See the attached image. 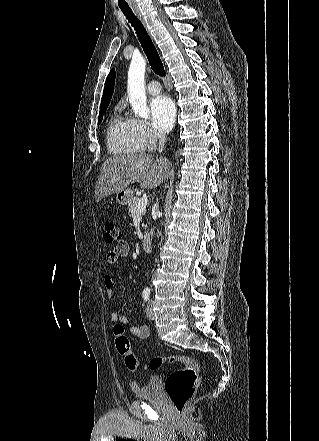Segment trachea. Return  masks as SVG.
Wrapping results in <instances>:
<instances>
[{
  "label": "trachea",
  "instance_id": "1",
  "mask_svg": "<svg viewBox=\"0 0 319 441\" xmlns=\"http://www.w3.org/2000/svg\"><path fill=\"white\" fill-rule=\"evenodd\" d=\"M121 11L123 12L124 16L128 20V22L131 24V26L134 28L136 35L138 37L139 42L141 43V46L144 50V53L147 56V59L150 63V66L154 73H156L159 76L165 75V70L163 63L160 59V56L157 52L156 47L154 46L150 36L148 35L147 31L145 30L144 26L140 22V20L134 15L132 10L129 6H121L119 5Z\"/></svg>",
  "mask_w": 319,
  "mask_h": 441
}]
</instances>
